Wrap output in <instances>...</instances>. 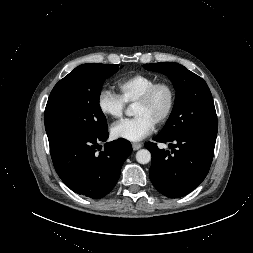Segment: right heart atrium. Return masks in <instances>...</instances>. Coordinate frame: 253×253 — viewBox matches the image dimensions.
<instances>
[{"mask_svg": "<svg viewBox=\"0 0 253 253\" xmlns=\"http://www.w3.org/2000/svg\"><path fill=\"white\" fill-rule=\"evenodd\" d=\"M97 106L102 115L112 119L122 118L126 109L120 96L110 90H102L98 94Z\"/></svg>", "mask_w": 253, "mask_h": 253, "instance_id": "right-heart-atrium-1", "label": "right heart atrium"}]
</instances>
